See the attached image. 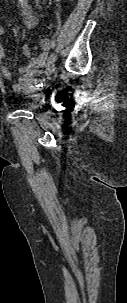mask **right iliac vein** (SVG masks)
<instances>
[{"instance_id":"right-iliac-vein-1","label":"right iliac vein","mask_w":127,"mask_h":303,"mask_svg":"<svg viewBox=\"0 0 127 303\" xmlns=\"http://www.w3.org/2000/svg\"><path fill=\"white\" fill-rule=\"evenodd\" d=\"M54 71H55V65L53 64V65H50V66L47 67V69L45 71V74L47 76H50L51 74L54 73Z\"/></svg>"}]
</instances>
